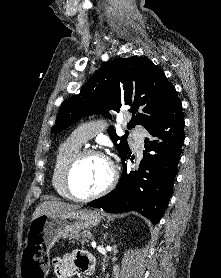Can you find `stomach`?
Masks as SVG:
<instances>
[{
    "label": "stomach",
    "mask_w": 221,
    "mask_h": 278,
    "mask_svg": "<svg viewBox=\"0 0 221 278\" xmlns=\"http://www.w3.org/2000/svg\"><path fill=\"white\" fill-rule=\"evenodd\" d=\"M102 214L89 209L43 214L30 223L21 257V278H48L49 250L59 239L98 225Z\"/></svg>",
    "instance_id": "0dacf381"
}]
</instances>
